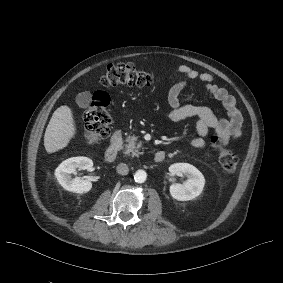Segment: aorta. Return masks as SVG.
Instances as JSON below:
<instances>
[{"label":"aorta","mask_w":283,"mask_h":283,"mask_svg":"<svg viewBox=\"0 0 283 283\" xmlns=\"http://www.w3.org/2000/svg\"><path fill=\"white\" fill-rule=\"evenodd\" d=\"M147 174L144 170H138L134 174V180L137 183H144L146 181Z\"/></svg>","instance_id":"obj_1"}]
</instances>
